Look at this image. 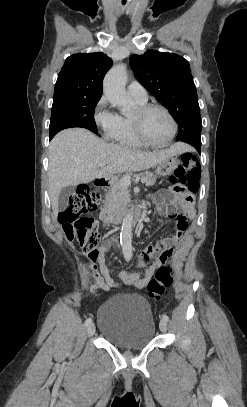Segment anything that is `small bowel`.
Returning <instances> with one entry per match:
<instances>
[{
	"instance_id": "small-bowel-1",
	"label": "small bowel",
	"mask_w": 247,
	"mask_h": 407,
	"mask_svg": "<svg viewBox=\"0 0 247 407\" xmlns=\"http://www.w3.org/2000/svg\"><path fill=\"white\" fill-rule=\"evenodd\" d=\"M152 201L158 204V212L168 218L175 219L173 231L170 235L153 245H149L142 250L138 256V264L144 268L142 274H131L121 272L120 282L142 288L148 284L156 269L164 265L173 255L174 249L182 239L184 232L188 228V219L193 218L194 210L189 201L179 199L176 195H171L169 201L162 202V194L154 193L151 196ZM110 241L105 243L90 256L88 263L89 270L93 275L92 287L101 290H109L117 287L119 283L115 282L109 274L105 265V253L110 249ZM98 263V267L96 266Z\"/></svg>"
}]
</instances>
